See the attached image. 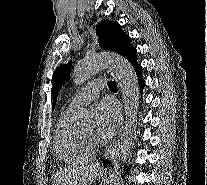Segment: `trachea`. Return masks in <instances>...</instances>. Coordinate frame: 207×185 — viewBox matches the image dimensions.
<instances>
[{"instance_id":"3493384b","label":"trachea","mask_w":207,"mask_h":185,"mask_svg":"<svg viewBox=\"0 0 207 185\" xmlns=\"http://www.w3.org/2000/svg\"><path fill=\"white\" fill-rule=\"evenodd\" d=\"M108 87L110 88V90H117L116 82H108Z\"/></svg>"}]
</instances>
